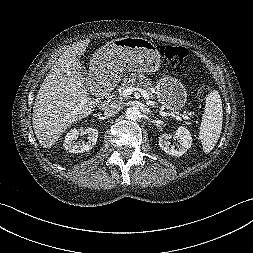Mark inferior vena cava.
<instances>
[{
  "instance_id": "602c4592",
  "label": "inferior vena cava",
  "mask_w": 253,
  "mask_h": 253,
  "mask_svg": "<svg viewBox=\"0 0 253 253\" xmlns=\"http://www.w3.org/2000/svg\"><path fill=\"white\" fill-rule=\"evenodd\" d=\"M123 109V104L120 101H114L107 103L103 106L105 115L114 116L118 114Z\"/></svg>"
}]
</instances>
